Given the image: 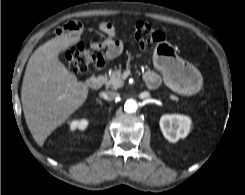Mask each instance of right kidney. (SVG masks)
<instances>
[{"label":"right kidney","instance_id":"right-kidney-1","mask_svg":"<svg viewBox=\"0 0 245 195\" xmlns=\"http://www.w3.org/2000/svg\"><path fill=\"white\" fill-rule=\"evenodd\" d=\"M87 126H88V121L86 119L73 120L70 122V129L72 131L76 129L85 130Z\"/></svg>","mask_w":245,"mask_h":195}]
</instances>
